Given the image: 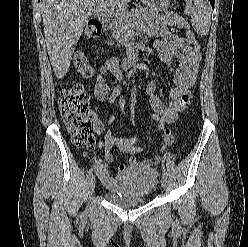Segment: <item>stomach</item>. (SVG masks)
<instances>
[{"mask_svg":"<svg viewBox=\"0 0 248 247\" xmlns=\"http://www.w3.org/2000/svg\"><path fill=\"white\" fill-rule=\"evenodd\" d=\"M142 2L152 11H164L168 8L170 0H142Z\"/></svg>","mask_w":248,"mask_h":247,"instance_id":"0dacf381","label":"stomach"}]
</instances>
